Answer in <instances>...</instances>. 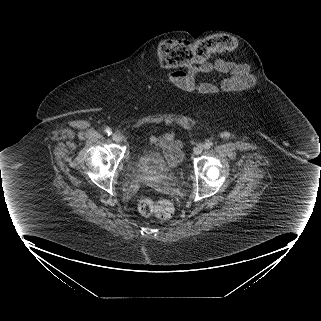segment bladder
Wrapping results in <instances>:
<instances>
[{
    "mask_svg": "<svg viewBox=\"0 0 321 321\" xmlns=\"http://www.w3.org/2000/svg\"><path fill=\"white\" fill-rule=\"evenodd\" d=\"M180 162H176L173 168H169L163 157L156 152L143 153L135 163V172L142 178L154 181L159 176L178 168Z\"/></svg>",
    "mask_w": 321,
    "mask_h": 321,
    "instance_id": "1",
    "label": "bladder"
}]
</instances>
